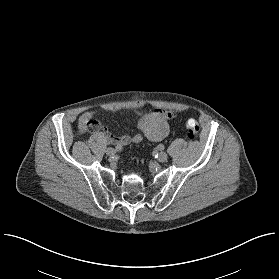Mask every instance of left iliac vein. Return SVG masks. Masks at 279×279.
Segmentation results:
<instances>
[{"instance_id":"1","label":"left iliac vein","mask_w":279,"mask_h":279,"mask_svg":"<svg viewBox=\"0 0 279 279\" xmlns=\"http://www.w3.org/2000/svg\"><path fill=\"white\" fill-rule=\"evenodd\" d=\"M167 158H168L167 153H165V152H160V153H159V156H158V161H159V162H165V161L167 160Z\"/></svg>"}]
</instances>
